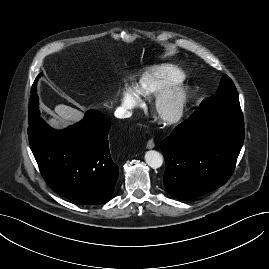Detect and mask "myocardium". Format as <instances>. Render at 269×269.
Here are the masks:
<instances>
[{"mask_svg": "<svg viewBox=\"0 0 269 269\" xmlns=\"http://www.w3.org/2000/svg\"><path fill=\"white\" fill-rule=\"evenodd\" d=\"M188 100V91L184 87L176 86L156 94L150 109L159 123L171 126L184 117Z\"/></svg>", "mask_w": 269, "mask_h": 269, "instance_id": "f54148a6", "label": "myocardium"}]
</instances>
